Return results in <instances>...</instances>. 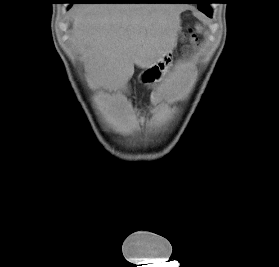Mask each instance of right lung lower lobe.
Returning a JSON list of instances; mask_svg holds the SVG:
<instances>
[{
	"instance_id": "right-lung-lower-lobe-1",
	"label": "right lung lower lobe",
	"mask_w": 279,
	"mask_h": 267,
	"mask_svg": "<svg viewBox=\"0 0 279 267\" xmlns=\"http://www.w3.org/2000/svg\"><path fill=\"white\" fill-rule=\"evenodd\" d=\"M147 0L123 2L121 0H71L70 3H144Z\"/></svg>"
}]
</instances>
